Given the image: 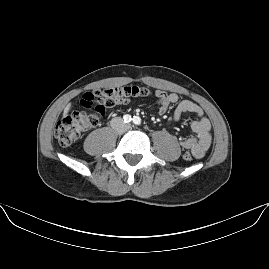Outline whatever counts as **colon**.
I'll list each match as a JSON object with an SVG mask.
<instances>
[{"mask_svg": "<svg viewBox=\"0 0 269 269\" xmlns=\"http://www.w3.org/2000/svg\"><path fill=\"white\" fill-rule=\"evenodd\" d=\"M151 94L149 88L136 85H125L104 90H86L82 103L86 105L82 112H72L61 118L55 127V136L64 146L75 143L85 132L98 126L101 115L107 108L126 103L133 97H147ZM186 161H192L194 156L186 151L183 154Z\"/></svg>", "mask_w": 269, "mask_h": 269, "instance_id": "colon-1", "label": "colon"}]
</instances>
